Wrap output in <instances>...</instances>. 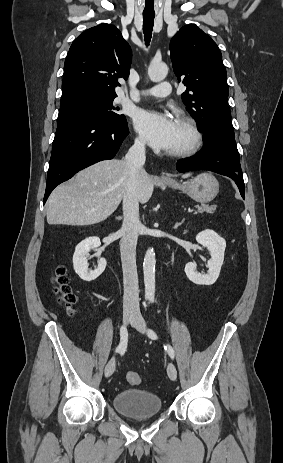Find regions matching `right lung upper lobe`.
Returning a JSON list of instances; mask_svg holds the SVG:
<instances>
[{"instance_id": "right-lung-upper-lobe-1", "label": "right lung upper lobe", "mask_w": 283, "mask_h": 463, "mask_svg": "<svg viewBox=\"0 0 283 463\" xmlns=\"http://www.w3.org/2000/svg\"><path fill=\"white\" fill-rule=\"evenodd\" d=\"M131 60L130 46L114 25L102 23L84 31L65 60L60 107L91 97H116L118 78L127 79Z\"/></svg>"}]
</instances>
